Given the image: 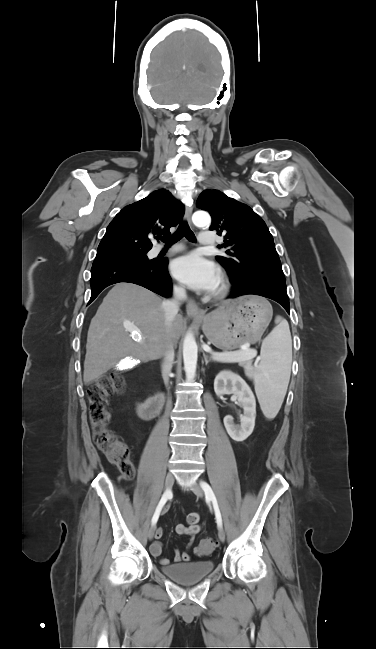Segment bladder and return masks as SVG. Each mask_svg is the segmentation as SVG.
Returning <instances> with one entry per match:
<instances>
[{
    "label": "bladder",
    "instance_id": "obj_1",
    "mask_svg": "<svg viewBox=\"0 0 376 649\" xmlns=\"http://www.w3.org/2000/svg\"><path fill=\"white\" fill-rule=\"evenodd\" d=\"M214 570V562L211 560L194 561L188 563L170 564L161 567L164 575L171 580L190 585L202 581Z\"/></svg>",
    "mask_w": 376,
    "mask_h": 649
}]
</instances>
